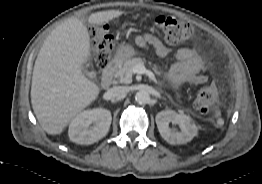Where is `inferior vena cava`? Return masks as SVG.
Returning a JSON list of instances; mask_svg holds the SVG:
<instances>
[{
	"label": "inferior vena cava",
	"mask_w": 262,
	"mask_h": 184,
	"mask_svg": "<svg viewBox=\"0 0 262 184\" xmlns=\"http://www.w3.org/2000/svg\"><path fill=\"white\" fill-rule=\"evenodd\" d=\"M127 92H128V88L125 86H114L110 88L106 94H107V97L111 99V98L125 96Z\"/></svg>",
	"instance_id": "1"
}]
</instances>
